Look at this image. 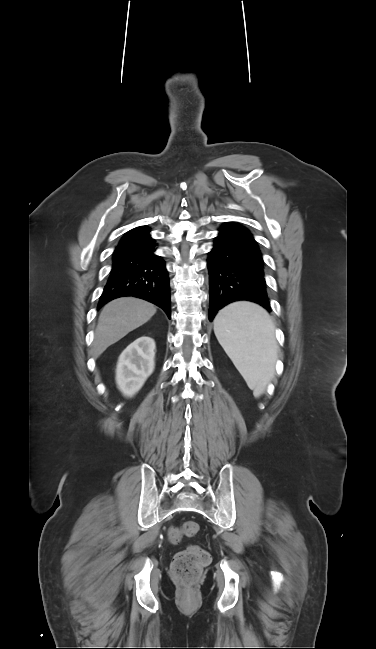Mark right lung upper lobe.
Wrapping results in <instances>:
<instances>
[{
  "label": "right lung upper lobe",
  "mask_w": 376,
  "mask_h": 649,
  "mask_svg": "<svg viewBox=\"0 0 376 649\" xmlns=\"http://www.w3.org/2000/svg\"><path fill=\"white\" fill-rule=\"evenodd\" d=\"M144 228H146V227L141 226V227H138V228L132 229L130 232H133V231H135V230L144 229Z\"/></svg>",
  "instance_id": "cb5924a9"
}]
</instances>
